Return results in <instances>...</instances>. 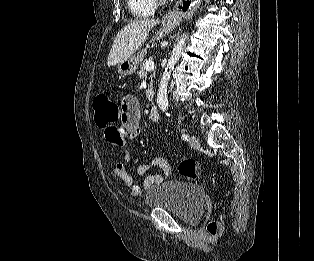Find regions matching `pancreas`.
Here are the masks:
<instances>
[{
	"label": "pancreas",
	"mask_w": 314,
	"mask_h": 261,
	"mask_svg": "<svg viewBox=\"0 0 314 261\" xmlns=\"http://www.w3.org/2000/svg\"><path fill=\"white\" fill-rule=\"evenodd\" d=\"M149 60H151V58H149ZM146 61H142V60L140 61L139 71H138V75L140 78L147 77V75H148V72L144 68V64ZM154 76H155V71H153V74L150 76L151 80L148 84V89L146 92V97L149 101H152L153 97H154V89H153V78H154Z\"/></svg>",
	"instance_id": "cf45deb5"
}]
</instances>
